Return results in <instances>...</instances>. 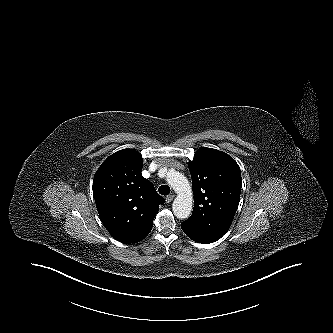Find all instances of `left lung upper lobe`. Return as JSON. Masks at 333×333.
<instances>
[{
    "instance_id": "5c2ea615",
    "label": "left lung upper lobe",
    "mask_w": 333,
    "mask_h": 333,
    "mask_svg": "<svg viewBox=\"0 0 333 333\" xmlns=\"http://www.w3.org/2000/svg\"><path fill=\"white\" fill-rule=\"evenodd\" d=\"M188 167L194 209L183 223L221 238L229 229L239 205L240 168L228 154L212 148L199 149Z\"/></svg>"
}]
</instances>
